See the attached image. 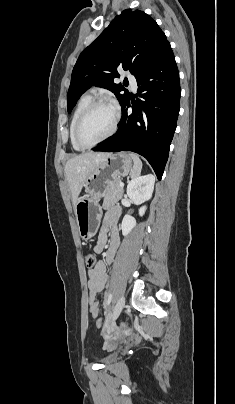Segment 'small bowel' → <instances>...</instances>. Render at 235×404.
I'll use <instances>...</instances> for the list:
<instances>
[{"label":"small bowel","mask_w":235,"mask_h":404,"mask_svg":"<svg viewBox=\"0 0 235 404\" xmlns=\"http://www.w3.org/2000/svg\"><path fill=\"white\" fill-rule=\"evenodd\" d=\"M119 208H111L105 215L94 244V251L103 253L105 261H98L96 266L88 271V301L89 311L93 317L100 314V305L97 295L101 293L107 284V263H111L119 247V231L117 228V219L119 217Z\"/></svg>","instance_id":"obj_1"}]
</instances>
